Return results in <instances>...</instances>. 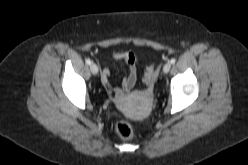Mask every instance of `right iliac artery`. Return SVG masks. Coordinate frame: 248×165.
<instances>
[{
  "mask_svg": "<svg viewBox=\"0 0 248 165\" xmlns=\"http://www.w3.org/2000/svg\"><path fill=\"white\" fill-rule=\"evenodd\" d=\"M91 60L90 59H86V64H88V65H91Z\"/></svg>",
  "mask_w": 248,
  "mask_h": 165,
  "instance_id": "right-iliac-artery-1",
  "label": "right iliac artery"
}]
</instances>
